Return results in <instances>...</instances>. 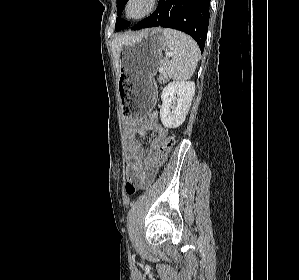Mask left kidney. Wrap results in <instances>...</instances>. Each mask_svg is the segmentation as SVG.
<instances>
[{
  "mask_svg": "<svg viewBox=\"0 0 299 280\" xmlns=\"http://www.w3.org/2000/svg\"><path fill=\"white\" fill-rule=\"evenodd\" d=\"M195 95L192 81H173L164 87L161 99L160 118L167 128H177L183 124Z\"/></svg>",
  "mask_w": 299,
  "mask_h": 280,
  "instance_id": "5707ae66",
  "label": "left kidney"
}]
</instances>
